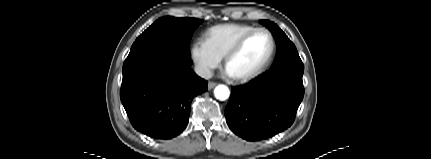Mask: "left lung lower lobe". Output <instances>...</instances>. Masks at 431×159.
<instances>
[{
    "mask_svg": "<svg viewBox=\"0 0 431 159\" xmlns=\"http://www.w3.org/2000/svg\"><path fill=\"white\" fill-rule=\"evenodd\" d=\"M303 72L304 66L282 65L232 87L225 109L229 128L247 141H260L290 127L304 96Z\"/></svg>",
    "mask_w": 431,
    "mask_h": 159,
    "instance_id": "0a47b994",
    "label": "left lung lower lobe"
}]
</instances>
